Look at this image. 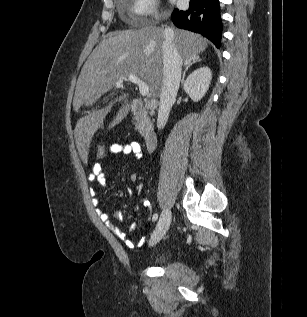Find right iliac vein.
Masks as SVG:
<instances>
[{"mask_svg": "<svg viewBox=\"0 0 307 317\" xmlns=\"http://www.w3.org/2000/svg\"><path fill=\"white\" fill-rule=\"evenodd\" d=\"M171 223V211L169 209H164L158 221V224L151 236L150 243L156 244L158 243L166 234Z\"/></svg>", "mask_w": 307, "mask_h": 317, "instance_id": "obj_1", "label": "right iliac vein"}]
</instances>
